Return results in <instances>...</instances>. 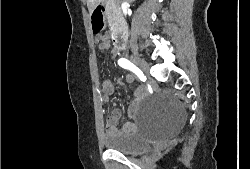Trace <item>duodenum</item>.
Masks as SVG:
<instances>
[{"label":"duodenum","instance_id":"obj_1","mask_svg":"<svg viewBox=\"0 0 250 169\" xmlns=\"http://www.w3.org/2000/svg\"><path fill=\"white\" fill-rule=\"evenodd\" d=\"M108 12L112 13L110 10H108ZM111 26L113 30L110 32V36L113 44L117 48H125L129 41V29L121 10H118L113 14L111 18Z\"/></svg>","mask_w":250,"mask_h":169}]
</instances>
